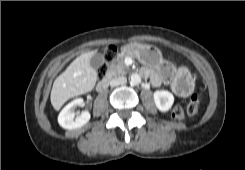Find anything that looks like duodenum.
Here are the masks:
<instances>
[{
    "label": "duodenum",
    "instance_id": "410a0bca",
    "mask_svg": "<svg viewBox=\"0 0 245 170\" xmlns=\"http://www.w3.org/2000/svg\"><path fill=\"white\" fill-rule=\"evenodd\" d=\"M109 85V77L103 78L99 83L97 84V91L98 92H103Z\"/></svg>",
    "mask_w": 245,
    "mask_h": 170
}]
</instances>
